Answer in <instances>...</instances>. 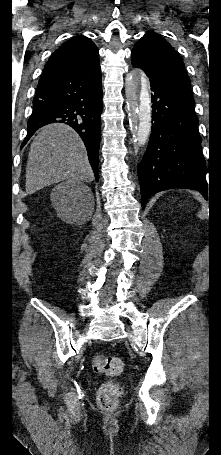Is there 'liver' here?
<instances>
[{
  "label": "liver",
  "instance_id": "obj_1",
  "mask_svg": "<svg viewBox=\"0 0 221 455\" xmlns=\"http://www.w3.org/2000/svg\"><path fill=\"white\" fill-rule=\"evenodd\" d=\"M85 146L69 126L53 123L34 138L26 166V193L63 180L92 181Z\"/></svg>",
  "mask_w": 221,
  "mask_h": 455
}]
</instances>
